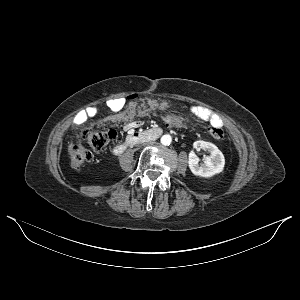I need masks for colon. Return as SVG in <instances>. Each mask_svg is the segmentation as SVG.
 I'll use <instances>...</instances> for the list:
<instances>
[{
  "label": "colon",
  "instance_id": "colon-1",
  "mask_svg": "<svg viewBox=\"0 0 300 300\" xmlns=\"http://www.w3.org/2000/svg\"><path fill=\"white\" fill-rule=\"evenodd\" d=\"M162 120L168 127L187 128L194 125V121L181 111H164ZM209 134L216 140H223L224 133L219 126L208 125ZM85 141L95 150L101 151L108 147L116 138V132L112 129L86 128L83 132ZM70 165L73 169H80L92 158L89 149L79 143H73L69 147Z\"/></svg>",
  "mask_w": 300,
  "mask_h": 300
}]
</instances>
